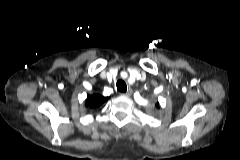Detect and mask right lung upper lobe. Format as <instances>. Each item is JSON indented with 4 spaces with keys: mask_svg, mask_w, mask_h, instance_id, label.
Here are the masks:
<instances>
[{
    "mask_svg": "<svg viewBox=\"0 0 240 160\" xmlns=\"http://www.w3.org/2000/svg\"><path fill=\"white\" fill-rule=\"evenodd\" d=\"M108 100V97H103L98 94H94L92 96H88V98L85 101L86 107L89 108H95L100 106L102 103Z\"/></svg>",
    "mask_w": 240,
    "mask_h": 160,
    "instance_id": "right-lung-upper-lobe-1",
    "label": "right lung upper lobe"
}]
</instances>
